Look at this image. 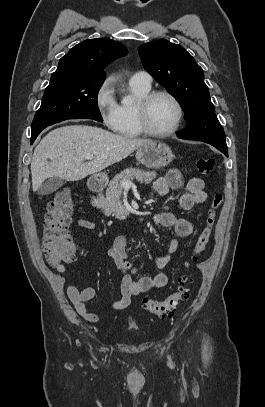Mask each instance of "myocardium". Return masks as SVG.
I'll use <instances>...</instances> for the list:
<instances>
[{
    "label": "myocardium",
    "mask_w": 265,
    "mask_h": 407,
    "mask_svg": "<svg viewBox=\"0 0 265 407\" xmlns=\"http://www.w3.org/2000/svg\"><path fill=\"white\" fill-rule=\"evenodd\" d=\"M159 96L168 97L176 106L177 118L174 125L165 132H157L150 128L148 123V112L151 103ZM136 122L142 134L154 138H166L173 135L181 126L184 117V109L180 100L167 90H155L146 94L136 105Z\"/></svg>",
    "instance_id": "myocardium-1"
}]
</instances>
